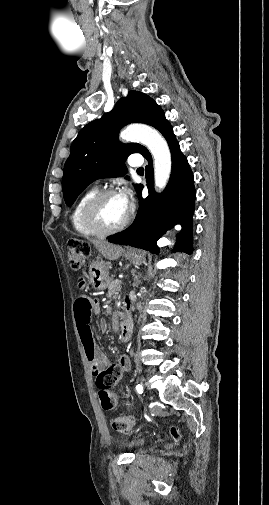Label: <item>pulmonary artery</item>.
Returning a JSON list of instances; mask_svg holds the SVG:
<instances>
[{
	"label": "pulmonary artery",
	"instance_id": "e3ab8cb5",
	"mask_svg": "<svg viewBox=\"0 0 269 505\" xmlns=\"http://www.w3.org/2000/svg\"><path fill=\"white\" fill-rule=\"evenodd\" d=\"M128 163L133 167H140L143 163L142 158L139 155H131L128 159Z\"/></svg>",
	"mask_w": 269,
	"mask_h": 505
}]
</instances>
